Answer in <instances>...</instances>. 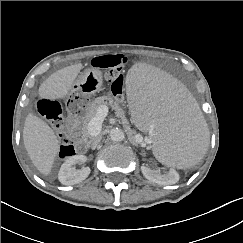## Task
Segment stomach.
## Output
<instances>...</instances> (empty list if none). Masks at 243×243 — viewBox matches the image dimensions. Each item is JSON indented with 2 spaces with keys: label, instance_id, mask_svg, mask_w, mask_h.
<instances>
[{
  "label": "stomach",
  "instance_id": "obj_1",
  "mask_svg": "<svg viewBox=\"0 0 243 243\" xmlns=\"http://www.w3.org/2000/svg\"><path fill=\"white\" fill-rule=\"evenodd\" d=\"M102 89L103 78L100 70L88 68L81 73L72 85L65 100L68 117L71 119L80 117L88 108L87 99Z\"/></svg>",
  "mask_w": 243,
  "mask_h": 243
}]
</instances>
